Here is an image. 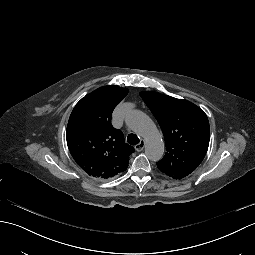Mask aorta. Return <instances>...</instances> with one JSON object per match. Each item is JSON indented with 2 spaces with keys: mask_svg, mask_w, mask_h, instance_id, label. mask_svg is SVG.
<instances>
[{
  "mask_svg": "<svg viewBox=\"0 0 255 255\" xmlns=\"http://www.w3.org/2000/svg\"><path fill=\"white\" fill-rule=\"evenodd\" d=\"M126 123L145 139V153L152 161L160 160L165 152L164 142L154 122L142 111L132 110L126 117Z\"/></svg>",
  "mask_w": 255,
  "mask_h": 255,
  "instance_id": "1",
  "label": "aorta"
}]
</instances>
